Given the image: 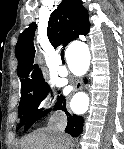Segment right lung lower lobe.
I'll return each instance as SVG.
<instances>
[{
	"mask_svg": "<svg viewBox=\"0 0 124 149\" xmlns=\"http://www.w3.org/2000/svg\"><path fill=\"white\" fill-rule=\"evenodd\" d=\"M56 110H62L66 113L68 124L65 129V132L72 135L73 137H77L81 134L83 128V118L78 115H71L67 109L63 96L58 97L57 103L55 105ZM47 112H42L40 114H34L28 118L25 123V130H28L36 120H38L41 116L45 115Z\"/></svg>",
	"mask_w": 124,
	"mask_h": 149,
	"instance_id": "98d812e1",
	"label": "right lung lower lobe"
}]
</instances>
